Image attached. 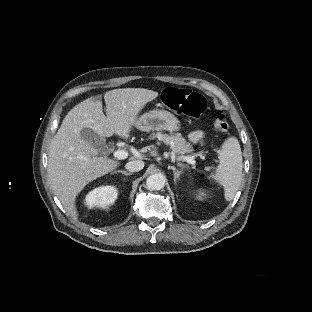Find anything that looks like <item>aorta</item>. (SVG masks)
I'll return each instance as SVG.
<instances>
[{"instance_id":"aorta-1","label":"aorta","mask_w":312,"mask_h":312,"mask_svg":"<svg viewBox=\"0 0 312 312\" xmlns=\"http://www.w3.org/2000/svg\"><path fill=\"white\" fill-rule=\"evenodd\" d=\"M165 185V177L161 174H153L147 177L146 187L151 190H161Z\"/></svg>"}]
</instances>
